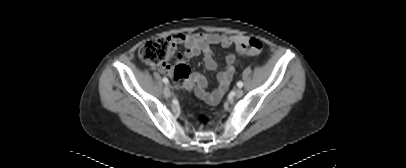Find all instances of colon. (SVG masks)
<instances>
[{"label":"colon","mask_w":406,"mask_h":168,"mask_svg":"<svg viewBox=\"0 0 406 168\" xmlns=\"http://www.w3.org/2000/svg\"><path fill=\"white\" fill-rule=\"evenodd\" d=\"M173 42L170 38L159 37L144 43L139 49L140 58L146 63L152 65L162 64L171 54ZM240 51L244 56H257L263 51V43L258 38H250L240 46ZM175 76L183 78L190 73L189 67L177 65L175 67ZM210 123V118L206 115L200 117V124L206 127Z\"/></svg>","instance_id":"colon-1"}]
</instances>
